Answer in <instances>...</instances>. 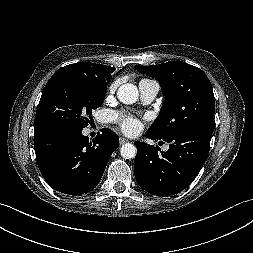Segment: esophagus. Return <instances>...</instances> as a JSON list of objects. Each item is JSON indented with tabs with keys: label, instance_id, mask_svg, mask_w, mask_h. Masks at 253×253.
<instances>
[{
	"label": "esophagus",
	"instance_id": "esophagus-1",
	"mask_svg": "<svg viewBox=\"0 0 253 253\" xmlns=\"http://www.w3.org/2000/svg\"><path fill=\"white\" fill-rule=\"evenodd\" d=\"M127 142H128V140H127L126 138L121 137V138L119 139V144H120V145H122V144H124V143H127Z\"/></svg>",
	"mask_w": 253,
	"mask_h": 253
}]
</instances>
